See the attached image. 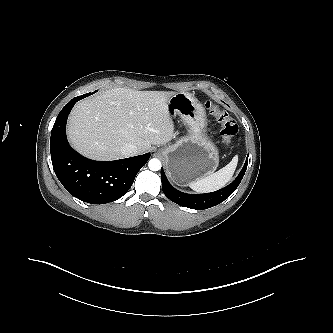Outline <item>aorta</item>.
Returning <instances> with one entry per match:
<instances>
[{
  "label": "aorta",
  "mask_w": 333,
  "mask_h": 333,
  "mask_svg": "<svg viewBox=\"0 0 333 333\" xmlns=\"http://www.w3.org/2000/svg\"><path fill=\"white\" fill-rule=\"evenodd\" d=\"M148 167L151 171H158L161 169V162L159 159L153 158L149 161Z\"/></svg>",
  "instance_id": "obj_1"
}]
</instances>
